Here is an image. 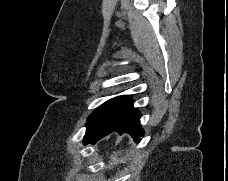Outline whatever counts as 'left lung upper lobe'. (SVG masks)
I'll list each match as a JSON object with an SVG mask.
<instances>
[{"label": "left lung upper lobe", "mask_w": 228, "mask_h": 181, "mask_svg": "<svg viewBox=\"0 0 228 181\" xmlns=\"http://www.w3.org/2000/svg\"><path fill=\"white\" fill-rule=\"evenodd\" d=\"M130 101L128 95L106 101L89 116L87 130L108 128L118 124L126 114Z\"/></svg>", "instance_id": "obj_1"}]
</instances>
